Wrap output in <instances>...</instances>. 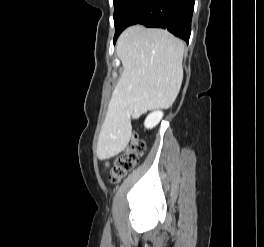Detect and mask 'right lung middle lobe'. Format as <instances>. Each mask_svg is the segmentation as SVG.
I'll return each mask as SVG.
<instances>
[{
  "label": "right lung middle lobe",
  "mask_w": 264,
  "mask_h": 247,
  "mask_svg": "<svg viewBox=\"0 0 264 247\" xmlns=\"http://www.w3.org/2000/svg\"><path fill=\"white\" fill-rule=\"evenodd\" d=\"M113 2H114V24L116 27L118 19L121 15L123 9L125 8L127 3L129 2V0H113Z\"/></svg>",
  "instance_id": "obj_1"
}]
</instances>
